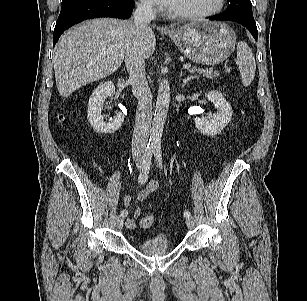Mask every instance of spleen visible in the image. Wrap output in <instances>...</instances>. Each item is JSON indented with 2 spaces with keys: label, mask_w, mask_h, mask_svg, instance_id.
I'll list each match as a JSON object with an SVG mask.
<instances>
[{
  "label": "spleen",
  "mask_w": 307,
  "mask_h": 301,
  "mask_svg": "<svg viewBox=\"0 0 307 301\" xmlns=\"http://www.w3.org/2000/svg\"><path fill=\"white\" fill-rule=\"evenodd\" d=\"M236 63L240 69L241 82L248 87L255 77L256 62L251 48L244 41L237 44Z\"/></svg>",
  "instance_id": "spleen-1"
}]
</instances>
